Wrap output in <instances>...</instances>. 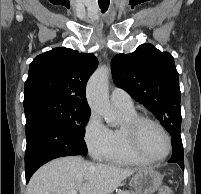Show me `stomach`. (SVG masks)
I'll return each instance as SVG.
<instances>
[{
	"label": "stomach",
	"instance_id": "stomach-1",
	"mask_svg": "<svg viewBox=\"0 0 201 194\" xmlns=\"http://www.w3.org/2000/svg\"><path fill=\"white\" fill-rule=\"evenodd\" d=\"M163 177L151 168H143L132 177L136 194H153L162 185Z\"/></svg>",
	"mask_w": 201,
	"mask_h": 194
}]
</instances>
